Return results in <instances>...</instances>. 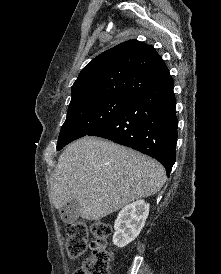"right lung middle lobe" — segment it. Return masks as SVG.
<instances>
[{
	"label": "right lung middle lobe",
	"instance_id": "1",
	"mask_svg": "<svg viewBox=\"0 0 221 274\" xmlns=\"http://www.w3.org/2000/svg\"><path fill=\"white\" fill-rule=\"evenodd\" d=\"M131 100L122 96H96L71 101L59 134L57 150L107 123Z\"/></svg>",
	"mask_w": 221,
	"mask_h": 274
}]
</instances>
